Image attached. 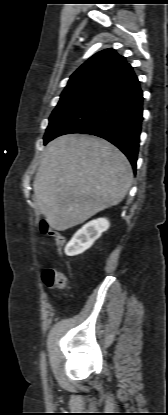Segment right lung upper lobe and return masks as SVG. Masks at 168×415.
Returning <instances> with one entry per match:
<instances>
[{"label":"right lung upper lobe","instance_id":"cb5924a9","mask_svg":"<svg viewBox=\"0 0 168 415\" xmlns=\"http://www.w3.org/2000/svg\"><path fill=\"white\" fill-rule=\"evenodd\" d=\"M132 71L130 64L115 50H102L71 75L62 95L81 91L103 92Z\"/></svg>","mask_w":168,"mask_h":415}]
</instances>
